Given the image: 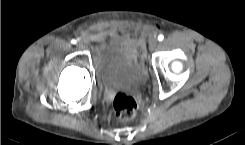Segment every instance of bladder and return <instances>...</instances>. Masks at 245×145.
I'll use <instances>...</instances> for the list:
<instances>
[{
	"mask_svg": "<svg viewBox=\"0 0 245 145\" xmlns=\"http://www.w3.org/2000/svg\"><path fill=\"white\" fill-rule=\"evenodd\" d=\"M94 66L102 83L124 90L136 89L146 81V69L137 42L124 34L109 35L100 43Z\"/></svg>",
	"mask_w": 245,
	"mask_h": 145,
	"instance_id": "obj_1",
	"label": "bladder"
}]
</instances>
